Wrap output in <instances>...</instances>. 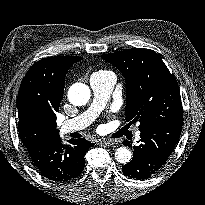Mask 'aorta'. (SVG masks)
<instances>
[{
	"mask_svg": "<svg viewBox=\"0 0 205 205\" xmlns=\"http://www.w3.org/2000/svg\"><path fill=\"white\" fill-rule=\"evenodd\" d=\"M68 99L74 106H83L90 99V89L86 84L75 83L68 90ZM131 151L126 147H120L115 151V159L121 164L130 162Z\"/></svg>",
	"mask_w": 205,
	"mask_h": 205,
	"instance_id": "obj_1",
	"label": "aorta"
}]
</instances>
